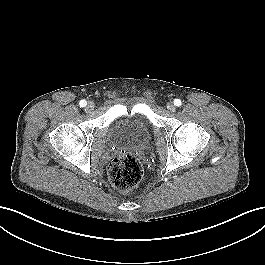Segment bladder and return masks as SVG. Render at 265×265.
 I'll list each match as a JSON object with an SVG mask.
<instances>
[{"instance_id":"obj_1","label":"bladder","mask_w":265,"mask_h":265,"mask_svg":"<svg viewBox=\"0 0 265 265\" xmlns=\"http://www.w3.org/2000/svg\"><path fill=\"white\" fill-rule=\"evenodd\" d=\"M111 135L123 146H144L151 137L148 123L142 117L125 118L114 123Z\"/></svg>"}]
</instances>
